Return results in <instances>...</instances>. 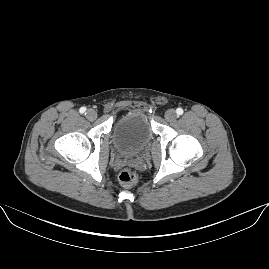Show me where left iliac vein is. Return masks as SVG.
I'll return each mask as SVG.
<instances>
[{
    "label": "left iliac vein",
    "instance_id": "left-iliac-vein-1",
    "mask_svg": "<svg viewBox=\"0 0 269 269\" xmlns=\"http://www.w3.org/2000/svg\"><path fill=\"white\" fill-rule=\"evenodd\" d=\"M177 118V114L175 112V110L173 109H169L165 112V119L168 121V122H174Z\"/></svg>",
    "mask_w": 269,
    "mask_h": 269
}]
</instances>
